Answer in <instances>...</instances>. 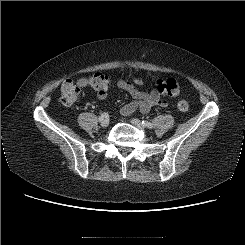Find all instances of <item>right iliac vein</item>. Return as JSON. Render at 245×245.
Returning <instances> with one entry per match:
<instances>
[{
    "label": "right iliac vein",
    "mask_w": 245,
    "mask_h": 245,
    "mask_svg": "<svg viewBox=\"0 0 245 245\" xmlns=\"http://www.w3.org/2000/svg\"><path fill=\"white\" fill-rule=\"evenodd\" d=\"M109 125V121L107 119H104L101 121V126L102 127H107Z\"/></svg>",
    "instance_id": "1"
}]
</instances>
